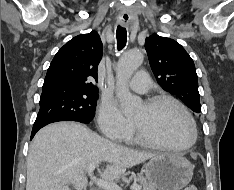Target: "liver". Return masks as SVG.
<instances>
[{
	"mask_svg": "<svg viewBox=\"0 0 234 190\" xmlns=\"http://www.w3.org/2000/svg\"><path fill=\"white\" fill-rule=\"evenodd\" d=\"M155 156L117 145L79 123H53L42 128L32 141L26 190H70V185L85 190V171L92 163L106 162L102 177L114 180L127 168Z\"/></svg>",
	"mask_w": 234,
	"mask_h": 190,
	"instance_id": "obj_1",
	"label": "liver"
}]
</instances>
